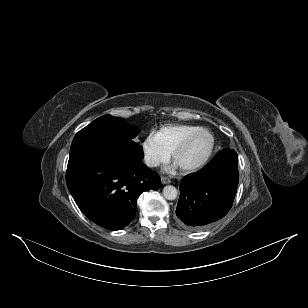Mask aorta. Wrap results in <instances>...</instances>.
I'll list each match as a JSON object with an SVG mask.
<instances>
[{
    "mask_svg": "<svg viewBox=\"0 0 308 308\" xmlns=\"http://www.w3.org/2000/svg\"><path fill=\"white\" fill-rule=\"evenodd\" d=\"M177 194V189L172 185H167L163 188V195L167 200L176 199Z\"/></svg>",
    "mask_w": 308,
    "mask_h": 308,
    "instance_id": "1",
    "label": "aorta"
}]
</instances>
